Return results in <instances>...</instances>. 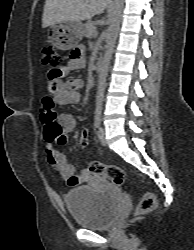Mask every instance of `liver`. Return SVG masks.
I'll list each match as a JSON object with an SVG mask.
<instances>
[{
  "instance_id": "6515ba94",
  "label": "liver",
  "mask_w": 194,
  "mask_h": 250,
  "mask_svg": "<svg viewBox=\"0 0 194 250\" xmlns=\"http://www.w3.org/2000/svg\"><path fill=\"white\" fill-rule=\"evenodd\" d=\"M108 0H46L42 27L66 21H83L104 12Z\"/></svg>"
}]
</instances>
